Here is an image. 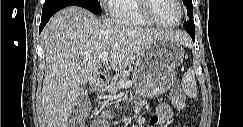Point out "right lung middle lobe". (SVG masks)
<instances>
[{"label":"right lung middle lobe","instance_id":"obj_1","mask_svg":"<svg viewBox=\"0 0 243 127\" xmlns=\"http://www.w3.org/2000/svg\"><path fill=\"white\" fill-rule=\"evenodd\" d=\"M62 5L80 6L96 14H98L101 10L100 4L97 0H46L43 5V10L51 9Z\"/></svg>","mask_w":243,"mask_h":127}]
</instances>
